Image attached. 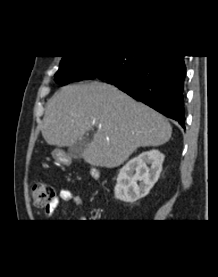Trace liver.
Segmentation results:
<instances>
[{"label":"liver","instance_id":"obj_1","mask_svg":"<svg viewBox=\"0 0 218 277\" xmlns=\"http://www.w3.org/2000/svg\"><path fill=\"white\" fill-rule=\"evenodd\" d=\"M97 128L83 153L86 163L114 168L139 147L163 145L172 128L167 119L117 89L91 82L61 88L48 101L42 136L49 145H73L86 132Z\"/></svg>","mask_w":218,"mask_h":277}]
</instances>
